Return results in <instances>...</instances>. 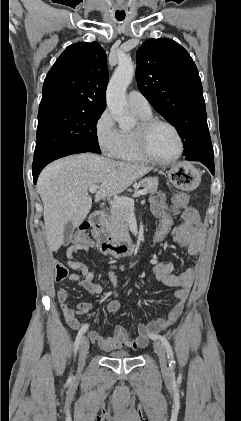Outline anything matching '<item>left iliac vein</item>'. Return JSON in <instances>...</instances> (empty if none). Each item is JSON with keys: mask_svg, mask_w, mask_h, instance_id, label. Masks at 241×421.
Segmentation results:
<instances>
[{"mask_svg": "<svg viewBox=\"0 0 241 421\" xmlns=\"http://www.w3.org/2000/svg\"><path fill=\"white\" fill-rule=\"evenodd\" d=\"M153 346H154V351L158 356L162 371L167 372L168 370L167 359H166L165 349L162 343H160L159 341H155Z\"/></svg>", "mask_w": 241, "mask_h": 421, "instance_id": "left-iliac-vein-1", "label": "left iliac vein"}]
</instances>
